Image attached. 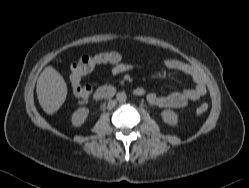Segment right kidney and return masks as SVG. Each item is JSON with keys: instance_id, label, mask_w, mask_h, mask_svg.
Listing matches in <instances>:
<instances>
[{"instance_id": "right-kidney-1", "label": "right kidney", "mask_w": 249, "mask_h": 188, "mask_svg": "<svg viewBox=\"0 0 249 188\" xmlns=\"http://www.w3.org/2000/svg\"><path fill=\"white\" fill-rule=\"evenodd\" d=\"M89 109L88 108H79L72 115V124L75 127L81 126L86 118L88 117Z\"/></svg>"}]
</instances>
